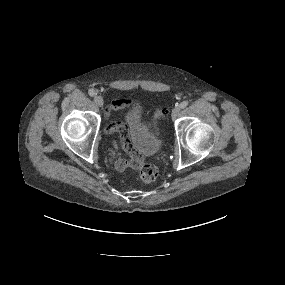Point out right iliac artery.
<instances>
[{
  "label": "right iliac artery",
  "instance_id": "right-iliac-artery-1",
  "mask_svg": "<svg viewBox=\"0 0 285 285\" xmlns=\"http://www.w3.org/2000/svg\"><path fill=\"white\" fill-rule=\"evenodd\" d=\"M88 93H89L90 96H95L96 95V92L93 89H90L88 91Z\"/></svg>",
  "mask_w": 285,
  "mask_h": 285
}]
</instances>
